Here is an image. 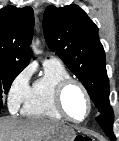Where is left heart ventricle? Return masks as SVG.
<instances>
[{"mask_svg": "<svg viewBox=\"0 0 119 141\" xmlns=\"http://www.w3.org/2000/svg\"><path fill=\"white\" fill-rule=\"evenodd\" d=\"M64 107L66 112L73 119L81 120L87 113V101L76 85H71L64 94Z\"/></svg>", "mask_w": 119, "mask_h": 141, "instance_id": "1", "label": "left heart ventricle"}]
</instances>
